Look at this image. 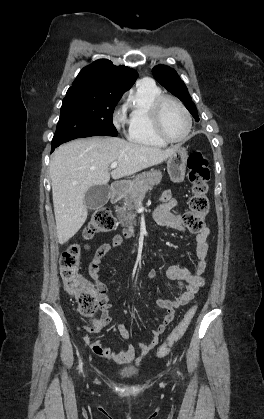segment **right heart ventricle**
<instances>
[{"label": "right heart ventricle", "instance_id": "1", "mask_svg": "<svg viewBox=\"0 0 264 419\" xmlns=\"http://www.w3.org/2000/svg\"><path fill=\"white\" fill-rule=\"evenodd\" d=\"M162 94L161 89L152 81H140L129 94L125 104L128 112V139L136 144L162 147L166 143L154 132L152 124V104Z\"/></svg>", "mask_w": 264, "mask_h": 419}]
</instances>
